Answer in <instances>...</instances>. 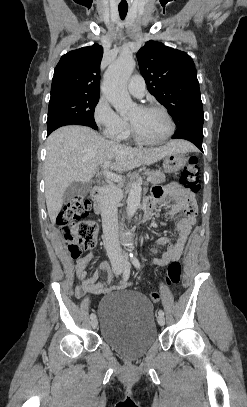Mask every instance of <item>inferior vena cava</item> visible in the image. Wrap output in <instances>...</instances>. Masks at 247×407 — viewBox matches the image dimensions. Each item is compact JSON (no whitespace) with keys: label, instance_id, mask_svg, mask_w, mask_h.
Instances as JSON below:
<instances>
[{"label":"inferior vena cava","instance_id":"obj_1","mask_svg":"<svg viewBox=\"0 0 247 407\" xmlns=\"http://www.w3.org/2000/svg\"><path fill=\"white\" fill-rule=\"evenodd\" d=\"M100 204L103 238L108 257L112 264H123L124 258L118 239V198L115 186L108 185L103 189Z\"/></svg>","mask_w":247,"mask_h":407}]
</instances>
